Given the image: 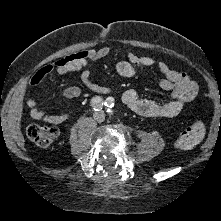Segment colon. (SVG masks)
<instances>
[{"label":"colon","mask_w":221,"mask_h":221,"mask_svg":"<svg viewBox=\"0 0 221 221\" xmlns=\"http://www.w3.org/2000/svg\"><path fill=\"white\" fill-rule=\"evenodd\" d=\"M205 134V124L201 118L186 128L176 139L175 147L181 150L191 149L201 142ZM59 131L55 127L33 124L27 129L28 138L39 147H48L58 138Z\"/></svg>","instance_id":"obj_1"}]
</instances>
